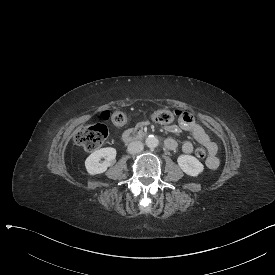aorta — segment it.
Listing matches in <instances>:
<instances>
[{
	"instance_id": "1",
	"label": "aorta",
	"mask_w": 275,
	"mask_h": 275,
	"mask_svg": "<svg viewBox=\"0 0 275 275\" xmlns=\"http://www.w3.org/2000/svg\"><path fill=\"white\" fill-rule=\"evenodd\" d=\"M145 143L149 148H155L158 146L159 141H158L157 137H155L154 135H149L146 138Z\"/></svg>"
}]
</instances>
